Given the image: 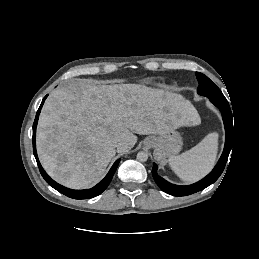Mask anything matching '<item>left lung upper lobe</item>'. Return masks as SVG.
<instances>
[{
  "instance_id": "obj_1",
  "label": "left lung upper lobe",
  "mask_w": 259,
  "mask_h": 259,
  "mask_svg": "<svg viewBox=\"0 0 259 259\" xmlns=\"http://www.w3.org/2000/svg\"><path fill=\"white\" fill-rule=\"evenodd\" d=\"M199 82L198 94L206 97H224L221 90L204 74L196 72Z\"/></svg>"
}]
</instances>
